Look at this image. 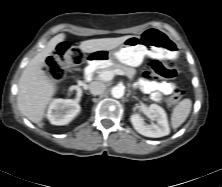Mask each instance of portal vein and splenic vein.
<instances>
[{
  "label": "portal vein and splenic vein",
  "mask_w": 222,
  "mask_h": 187,
  "mask_svg": "<svg viewBox=\"0 0 222 187\" xmlns=\"http://www.w3.org/2000/svg\"><path fill=\"white\" fill-rule=\"evenodd\" d=\"M114 75H124V72L119 69L114 71H102L99 73L98 77L102 81H110L113 79Z\"/></svg>",
  "instance_id": "18ae733b"
}]
</instances>
